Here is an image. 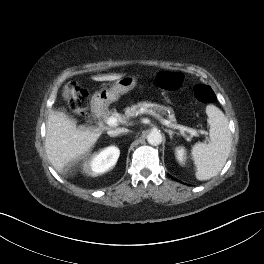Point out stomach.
Returning a JSON list of instances; mask_svg holds the SVG:
<instances>
[{
  "instance_id": "stomach-1",
  "label": "stomach",
  "mask_w": 264,
  "mask_h": 264,
  "mask_svg": "<svg viewBox=\"0 0 264 264\" xmlns=\"http://www.w3.org/2000/svg\"><path fill=\"white\" fill-rule=\"evenodd\" d=\"M136 79L132 76H125L118 79L109 89L102 88L93 96V101L100 107H105L117 101L121 95L128 93L136 86Z\"/></svg>"
}]
</instances>
